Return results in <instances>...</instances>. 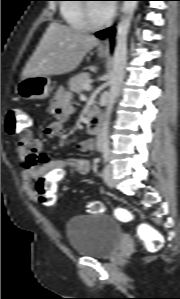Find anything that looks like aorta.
<instances>
[{
  "label": "aorta",
  "instance_id": "obj_1",
  "mask_svg": "<svg viewBox=\"0 0 180 299\" xmlns=\"http://www.w3.org/2000/svg\"><path fill=\"white\" fill-rule=\"evenodd\" d=\"M136 6L137 1H123L122 16L116 33L112 78L110 80V89L106 100V110L100 133V143L103 149L108 148L109 144V120L124 79L127 59V35Z\"/></svg>",
  "mask_w": 180,
  "mask_h": 299
}]
</instances>
